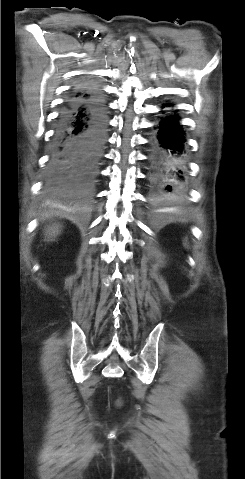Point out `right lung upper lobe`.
<instances>
[{
    "instance_id": "1",
    "label": "right lung upper lobe",
    "mask_w": 245,
    "mask_h": 479,
    "mask_svg": "<svg viewBox=\"0 0 245 479\" xmlns=\"http://www.w3.org/2000/svg\"><path fill=\"white\" fill-rule=\"evenodd\" d=\"M96 94H100L98 88L93 84L89 83L82 93H73L70 98L88 99L95 96Z\"/></svg>"
}]
</instances>
